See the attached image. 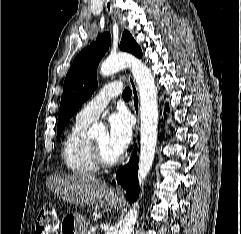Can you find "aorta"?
I'll return each instance as SVG.
<instances>
[{
  "instance_id": "aorta-1",
  "label": "aorta",
  "mask_w": 241,
  "mask_h": 234,
  "mask_svg": "<svg viewBox=\"0 0 241 234\" xmlns=\"http://www.w3.org/2000/svg\"><path fill=\"white\" fill-rule=\"evenodd\" d=\"M130 68L139 88L140 96V160L138 178L143 184L152 167L157 145L158 103L157 88L154 77L148 67L136 57L120 53L108 57L100 67L103 76H109L121 69ZM104 129L102 124H94L89 130L91 135H97ZM138 217V206L135 204L124 219V225L118 234H132Z\"/></svg>"
}]
</instances>
